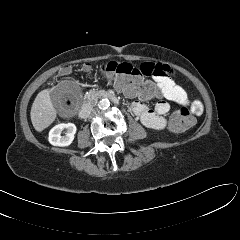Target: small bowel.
Wrapping results in <instances>:
<instances>
[{
	"label": "small bowel",
	"mask_w": 240,
	"mask_h": 240,
	"mask_svg": "<svg viewBox=\"0 0 240 240\" xmlns=\"http://www.w3.org/2000/svg\"><path fill=\"white\" fill-rule=\"evenodd\" d=\"M145 76L151 77L160 88L164 99L159 100L154 109L141 101L132 103V111L148 128L162 130L167 125L165 115L170 110L168 101L188 107L195 116L203 113V104L198 99H191L186 90L178 85L172 78V70L169 66L161 63L144 62L139 66Z\"/></svg>",
	"instance_id": "obj_1"
}]
</instances>
